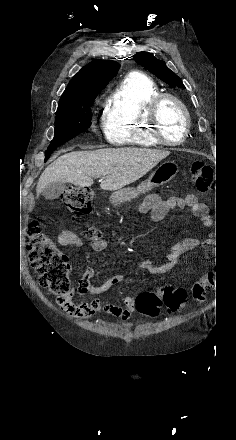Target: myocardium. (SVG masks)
I'll return each instance as SVG.
<instances>
[{
  "mask_svg": "<svg viewBox=\"0 0 236 440\" xmlns=\"http://www.w3.org/2000/svg\"><path fill=\"white\" fill-rule=\"evenodd\" d=\"M167 100L175 102L181 109L184 116V131L182 137L178 140L168 139L162 130L159 113L161 106ZM146 116L150 125L151 135L160 144L174 146V145L182 144L186 141L190 131V114L186 105L176 95L171 93H159L158 95H156L148 105Z\"/></svg>",
  "mask_w": 236,
  "mask_h": 440,
  "instance_id": "obj_1",
  "label": "myocardium"
}]
</instances>
